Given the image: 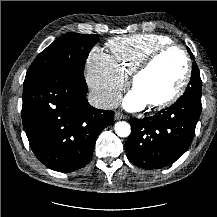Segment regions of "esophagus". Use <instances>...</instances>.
<instances>
[{
    "label": "esophagus",
    "mask_w": 217,
    "mask_h": 217,
    "mask_svg": "<svg viewBox=\"0 0 217 217\" xmlns=\"http://www.w3.org/2000/svg\"><path fill=\"white\" fill-rule=\"evenodd\" d=\"M125 118H126V116L124 114H122L121 112L115 113V119L116 120L125 119Z\"/></svg>",
    "instance_id": "obj_1"
}]
</instances>
